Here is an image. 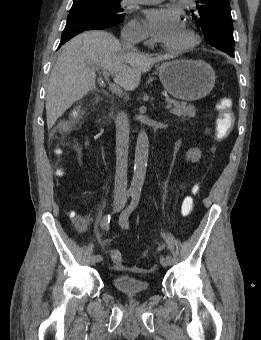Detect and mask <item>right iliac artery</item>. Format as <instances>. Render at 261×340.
Here are the masks:
<instances>
[{
  "label": "right iliac artery",
  "mask_w": 261,
  "mask_h": 340,
  "mask_svg": "<svg viewBox=\"0 0 261 340\" xmlns=\"http://www.w3.org/2000/svg\"><path fill=\"white\" fill-rule=\"evenodd\" d=\"M110 220H111L110 214H106L102 217V219L100 221V226L103 230H105V231L109 230ZM95 258H96L97 263H101L103 261V257L99 254L95 255Z\"/></svg>",
  "instance_id": "1"
}]
</instances>
